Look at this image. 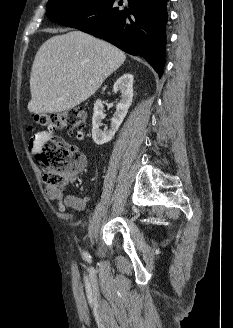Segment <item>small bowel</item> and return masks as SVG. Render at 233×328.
<instances>
[{
  "label": "small bowel",
  "instance_id": "c3829d8e",
  "mask_svg": "<svg viewBox=\"0 0 233 328\" xmlns=\"http://www.w3.org/2000/svg\"><path fill=\"white\" fill-rule=\"evenodd\" d=\"M50 137H52V135L49 132H38L29 141V149L32 152L38 151L43 143ZM46 194L50 200L57 201L58 209L61 212H64L67 208L81 210L85 205V201L83 199L72 195L66 196L64 195L63 189L60 188L48 187L46 189Z\"/></svg>",
  "mask_w": 233,
  "mask_h": 328
}]
</instances>
